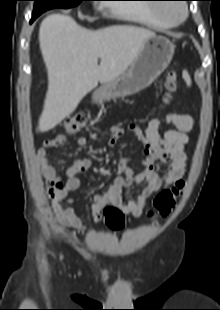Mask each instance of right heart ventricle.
<instances>
[{
	"label": "right heart ventricle",
	"instance_id": "obj_1",
	"mask_svg": "<svg viewBox=\"0 0 220 310\" xmlns=\"http://www.w3.org/2000/svg\"><path fill=\"white\" fill-rule=\"evenodd\" d=\"M112 12L118 17L150 28L166 29L173 26L172 23L162 19L157 15V7L155 5H118L113 7Z\"/></svg>",
	"mask_w": 220,
	"mask_h": 310
}]
</instances>
